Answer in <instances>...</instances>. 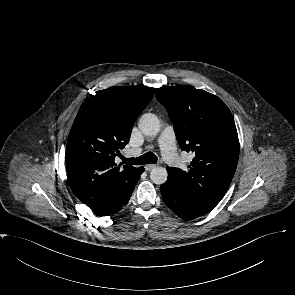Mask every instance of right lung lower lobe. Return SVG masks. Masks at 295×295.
Here are the masks:
<instances>
[{"label": "right lung lower lobe", "mask_w": 295, "mask_h": 295, "mask_svg": "<svg viewBox=\"0 0 295 295\" xmlns=\"http://www.w3.org/2000/svg\"><path fill=\"white\" fill-rule=\"evenodd\" d=\"M144 172L143 167L137 168L135 171L131 181L127 184L126 187H124L122 190H120L115 198L111 200L108 204H106L104 207L98 208L96 210H92L97 216H109L117 213L120 211L129 201V198L133 192V189L135 185L137 184V181L140 178V175Z\"/></svg>", "instance_id": "98d812e1"}]
</instances>
